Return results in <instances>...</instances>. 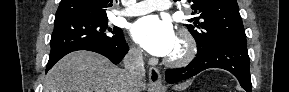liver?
Masks as SVG:
<instances>
[{
	"mask_svg": "<svg viewBox=\"0 0 289 92\" xmlns=\"http://www.w3.org/2000/svg\"><path fill=\"white\" fill-rule=\"evenodd\" d=\"M145 84L131 82L124 69L90 51L64 56L45 77L44 92H142Z\"/></svg>",
	"mask_w": 289,
	"mask_h": 92,
	"instance_id": "1",
	"label": "liver"
}]
</instances>
